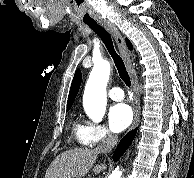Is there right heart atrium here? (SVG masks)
<instances>
[{"label": "right heart atrium", "mask_w": 194, "mask_h": 178, "mask_svg": "<svg viewBox=\"0 0 194 178\" xmlns=\"http://www.w3.org/2000/svg\"><path fill=\"white\" fill-rule=\"evenodd\" d=\"M114 139L115 136L105 125L86 122L82 137L84 145L96 146L101 143L111 142Z\"/></svg>", "instance_id": "1"}]
</instances>
